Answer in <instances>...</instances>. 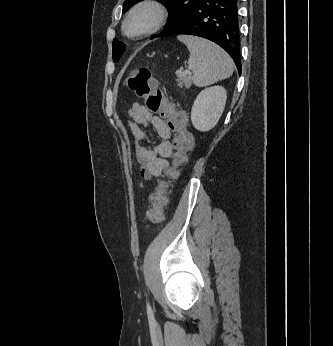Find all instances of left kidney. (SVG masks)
Returning <instances> with one entry per match:
<instances>
[{
	"label": "left kidney",
	"instance_id": "1",
	"mask_svg": "<svg viewBox=\"0 0 333 346\" xmlns=\"http://www.w3.org/2000/svg\"><path fill=\"white\" fill-rule=\"evenodd\" d=\"M226 99L227 93L222 86L217 85L202 90L192 106L193 126L202 132L215 127L224 111Z\"/></svg>",
	"mask_w": 333,
	"mask_h": 346
}]
</instances>
